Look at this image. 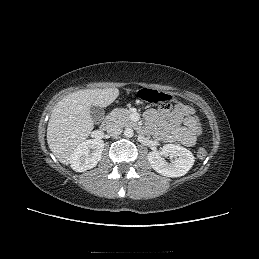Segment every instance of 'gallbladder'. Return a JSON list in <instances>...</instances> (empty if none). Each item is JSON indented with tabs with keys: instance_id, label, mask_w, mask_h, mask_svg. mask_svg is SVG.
Listing matches in <instances>:
<instances>
[{
	"instance_id": "gallbladder-1",
	"label": "gallbladder",
	"mask_w": 259,
	"mask_h": 259,
	"mask_svg": "<svg viewBox=\"0 0 259 259\" xmlns=\"http://www.w3.org/2000/svg\"><path fill=\"white\" fill-rule=\"evenodd\" d=\"M90 115L95 124H99L104 119L105 112L103 108L98 106H91Z\"/></svg>"
}]
</instances>
